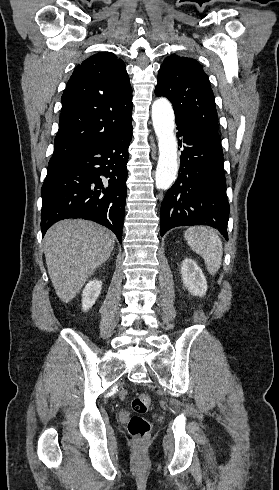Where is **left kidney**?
I'll use <instances>...</instances> for the list:
<instances>
[{"mask_svg":"<svg viewBox=\"0 0 279 490\" xmlns=\"http://www.w3.org/2000/svg\"><path fill=\"white\" fill-rule=\"evenodd\" d=\"M182 282L191 296L203 298L207 292L206 278L199 266L191 258H185L181 268Z\"/></svg>","mask_w":279,"mask_h":490,"instance_id":"obj_1","label":"left kidney"}]
</instances>
